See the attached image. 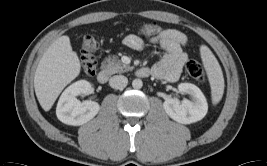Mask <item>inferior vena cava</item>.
Listing matches in <instances>:
<instances>
[{
  "label": "inferior vena cava",
  "instance_id": "602c4592",
  "mask_svg": "<svg viewBox=\"0 0 267 166\" xmlns=\"http://www.w3.org/2000/svg\"><path fill=\"white\" fill-rule=\"evenodd\" d=\"M109 84L114 89H123L127 86L128 79L123 75H115L110 78Z\"/></svg>",
  "mask_w": 267,
  "mask_h": 166
}]
</instances>
